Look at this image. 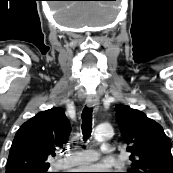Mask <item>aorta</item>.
I'll list each match as a JSON object with an SVG mask.
<instances>
[{
	"label": "aorta",
	"instance_id": "aorta-1",
	"mask_svg": "<svg viewBox=\"0 0 173 173\" xmlns=\"http://www.w3.org/2000/svg\"><path fill=\"white\" fill-rule=\"evenodd\" d=\"M113 135V128L110 124H101L94 130V137L97 140L109 138Z\"/></svg>",
	"mask_w": 173,
	"mask_h": 173
}]
</instances>
